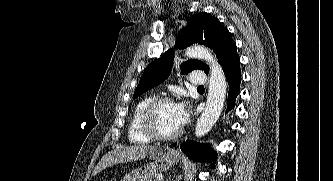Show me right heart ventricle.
<instances>
[{
	"label": "right heart ventricle",
	"instance_id": "right-heart-ventricle-1",
	"mask_svg": "<svg viewBox=\"0 0 333 181\" xmlns=\"http://www.w3.org/2000/svg\"><path fill=\"white\" fill-rule=\"evenodd\" d=\"M154 98L152 95L143 97L135 106L129 124V140L136 144H147L152 138L147 136L141 127V115L147 104Z\"/></svg>",
	"mask_w": 333,
	"mask_h": 181
}]
</instances>
